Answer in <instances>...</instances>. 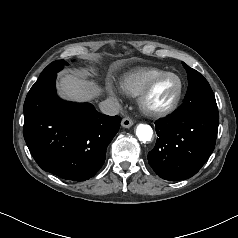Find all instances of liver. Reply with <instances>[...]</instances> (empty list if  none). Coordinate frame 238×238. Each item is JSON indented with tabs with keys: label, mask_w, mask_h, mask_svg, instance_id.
Segmentation results:
<instances>
[{
	"label": "liver",
	"mask_w": 238,
	"mask_h": 238,
	"mask_svg": "<svg viewBox=\"0 0 238 238\" xmlns=\"http://www.w3.org/2000/svg\"><path fill=\"white\" fill-rule=\"evenodd\" d=\"M60 93L70 100L84 102L98 97L101 89L93 82L73 74H64L58 84Z\"/></svg>",
	"instance_id": "obj_1"
}]
</instances>
